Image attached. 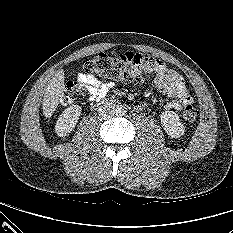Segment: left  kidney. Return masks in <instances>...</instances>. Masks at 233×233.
I'll use <instances>...</instances> for the list:
<instances>
[{
	"label": "left kidney",
	"mask_w": 233,
	"mask_h": 233,
	"mask_svg": "<svg viewBox=\"0 0 233 233\" xmlns=\"http://www.w3.org/2000/svg\"><path fill=\"white\" fill-rule=\"evenodd\" d=\"M161 124L165 132L172 138L184 135L185 127L181 123L178 114L173 111H165L161 114Z\"/></svg>",
	"instance_id": "5707ae66"
}]
</instances>
